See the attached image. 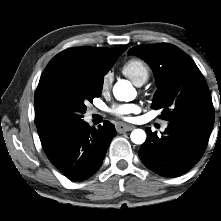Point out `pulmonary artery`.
<instances>
[{
    "label": "pulmonary artery",
    "instance_id": "e3ab8cb5",
    "mask_svg": "<svg viewBox=\"0 0 221 221\" xmlns=\"http://www.w3.org/2000/svg\"><path fill=\"white\" fill-rule=\"evenodd\" d=\"M140 85H142V84H138V86H140ZM167 125H164V128L166 127Z\"/></svg>",
    "mask_w": 221,
    "mask_h": 221
}]
</instances>
